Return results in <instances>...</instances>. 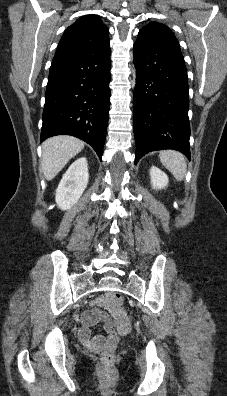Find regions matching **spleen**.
Returning <instances> with one entry per match:
<instances>
[{"label": "spleen", "mask_w": 227, "mask_h": 396, "mask_svg": "<svg viewBox=\"0 0 227 396\" xmlns=\"http://www.w3.org/2000/svg\"><path fill=\"white\" fill-rule=\"evenodd\" d=\"M162 164L173 174L176 180L181 181L186 174V161L184 156L174 150H164L159 154Z\"/></svg>", "instance_id": "1"}]
</instances>
